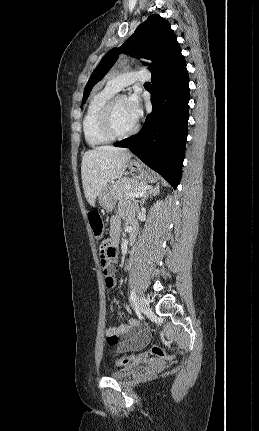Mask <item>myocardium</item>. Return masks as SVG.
I'll use <instances>...</instances> for the list:
<instances>
[{
	"label": "myocardium",
	"mask_w": 259,
	"mask_h": 431,
	"mask_svg": "<svg viewBox=\"0 0 259 431\" xmlns=\"http://www.w3.org/2000/svg\"><path fill=\"white\" fill-rule=\"evenodd\" d=\"M122 98H125L122 94L113 95L105 102L99 113L100 128L106 136L112 139H122L132 136L139 128L138 123L135 122L134 126L128 131L120 132L116 129L114 124V108L116 103Z\"/></svg>",
	"instance_id": "myocardium-1"
}]
</instances>
